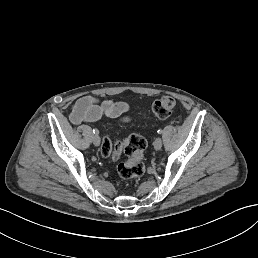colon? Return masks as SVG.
<instances>
[{
	"label": "colon",
	"mask_w": 258,
	"mask_h": 258,
	"mask_svg": "<svg viewBox=\"0 0 258 258\" xmlns=\"http://www.w3.org/2000/svg\"><path fill=\"white\" fill-rule=\"evenodd\" d=\"M176 102L170 96H164L156 100L152 105L153 115L159 119L168 118ZM147 143L143 136L132 134L122 141L113 142L109 137L102 140L100 152L104 157L112 160H118L122 154L127 156L124 162H121L117 171L124 180H135L141 177L145 171L143 154Z\"/></svg>",
	"instance_id": "5ec220e1"
}]
</instances>
